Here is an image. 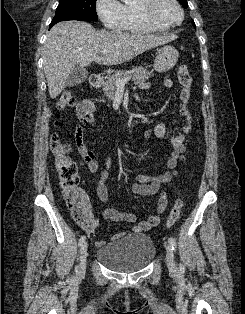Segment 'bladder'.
<instances>
[{
  "label": "bladder",
  "instance_id": "obj_1",
  "mask_svg": "<svg viewBox=\"0 0 245 314\" xmlns=\"http://www.w3.org/2000/svg\"><path fill=\"white\" fill-rule=\"evenodd\" d=\"M155 255V245L148 235L131 234L100 247L96 259L111 270L132 272L144 269Z\"/></svg>",
  "mask_w": 245,
  "mask_h": 314
}]
</instances>
